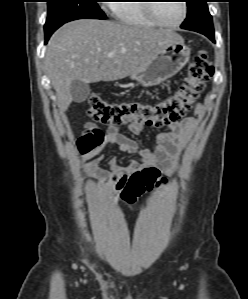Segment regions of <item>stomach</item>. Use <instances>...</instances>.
Returning <instances> with one entry per match:
<instances>
[{"label": "stomach", "instance_id": "obj_1", "mask_svg": "<svg viewBox=\"0 0 248 299\" xmlns=\"http://www.w3.org/2000/svg\"><path fill=\"white\" fill-rule=\"evenodd\" d=\"M190 48L184 42L166 46L141 71L131 75V79L144 87L155 86L177 74L189 61Z\"/></svg>", "mask_w": 248, "mask_h": 299}]
</instances>
